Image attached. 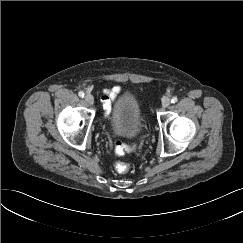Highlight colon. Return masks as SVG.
Returning a JSON list of instances; mask_svg holds the SVG:
<instances>
[{
    "mask_svg": "<svg viewBox=\"0 0 243 243\" xmlns=\"http://www.w3.org/2000/svg\"><path fill=\"white\" fill-rule=\"evenodd\" d=\"M135 149V146H128L125 143L121 142V141H117L115 143V151L117 154L119 155H123L126 152L132 151ZM115 170L118 173H125L129 170V165L127 163L124 162H118L115 164Z\"/></svg>",
    "mask_w": 243,
    "mask_h": 243,
    "instance_id": "5ec220e1",
    "label": "colon"
}]
</instances>
